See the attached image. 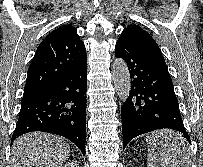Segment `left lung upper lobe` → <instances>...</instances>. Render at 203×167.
<instances>
[{"instance_id":"5c2ea615","label":"left lung upper lobe","mask_w":203,"mask_h":167,"mask_svg":"<svg viewBox=\"0 0 203 167\" xmlns=\"http://www.w3.org/2000/svg\"><path fill=\"white\" fill-rule=\"evenodd\" d=\"M135 50L154 59L165 62L161 50L155 40L142 28L136 25L128 26L118 39Z\"/></svg>"}]
</instances>
